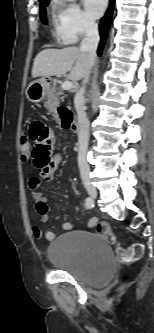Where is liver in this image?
I'll return each instance as SVG.
<instances>
[{
	"label": "liver",
	"mask_w": 154,
	"mask_h": 333,
	"mask_svg": "<svg viewBox=\"0 0 154 333\" xmlns=\"http://www.w3.org/2000/svg\"><path fill=\"white\" fill-rule=\"evenodd\" d=\"M90 68L88 52L76 46L44 49L34 59L32 77L61 76L70 72L73 81L82 79Z\"/></svg>",
	"instance_id": "6515ba94"
}]
</instances>
